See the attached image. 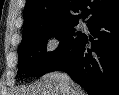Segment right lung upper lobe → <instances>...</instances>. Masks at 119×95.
Masks as SVG:
<instances>
[{
    "mask_svg": "<svg viewBox=\"0 0 119 95\" xmlns=\"http://www.w3.org/2000/svg\"><path fill=\"white\" fill-rule=\"evenodd\" d=\"M81 11L80 14H77ZM119 12V0H27L24 9L26 32L51 23L77 22L88 19V25Z\"/></svg>",
    "mask_w": 119,
    "mask_h": 95,
    "instance_id": "right-lung-upper-lobe-1",
    "label": "right lung upper lobe"
}]
</instances>
